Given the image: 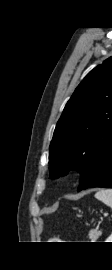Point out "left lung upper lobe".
I'll return each mask as SVG.
<instances>
[{
	"instance_id": "5c2ea615",
	"label": "left lung upper lobe",
	"mask_w": 112,
	"mask_h": 270,
	"mask_svg": "<svg viewBox=\"0 0 112 270\" xmlns=\"http://www.w3.org/2000/svg\"><path fill=\"white\" fill-rule=\"evenodd\" d=\"M112 146V56L78 85L56 125L49 152L51 178L90 177Z\"/></svg>"
}]
</instances>
